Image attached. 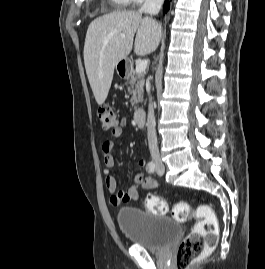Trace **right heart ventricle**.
Returning a JSON list of instances; mask_svg holds the SVG:
<instances>
[{
    "mask_svg": "<svg viewBox=\"0 0 265 269\" xmlns=\"http://www.w3.org/2000/svg\"><path fill=\"white\" fill-rule=\"evenodd\" d=\"M116 7L124 8L126 7L129 2L128 0H110Z\"/></svg>",
    "mask_w": 265,
    "mask_h": 269,
    "instance_id": "right-heart-ventricle-1",
    "label": "right heart ventricle"
}]
</instances>
